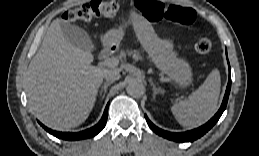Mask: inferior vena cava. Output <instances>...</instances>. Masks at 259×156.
Segmentation results:
<instances>
[{"label": "inferior vena cava", "mask_w": 259, "mask_h": 156, "mask_svg": "<svg viewBox=\"0 0 259 156\" xmlns=\"http://www.w3.org/2000/svg\"><path fill=\"white\" fill-rule=\"evenodd\" d=\"M104 78L107 81L114 82L120 78V73L118 70H107L104 74Z\"/></svg>", "instance_id": "obj_1"}]
</instances>
